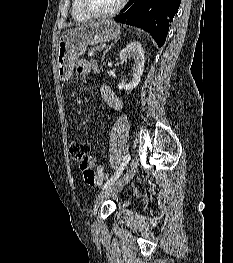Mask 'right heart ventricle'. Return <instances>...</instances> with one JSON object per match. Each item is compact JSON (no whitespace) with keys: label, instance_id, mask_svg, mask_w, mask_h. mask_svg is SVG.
<instances>
[{"label":"right heart ventricle","instance_id":"obj_1","mask_svg":"<svg viewBox=\"0 0 233 263\" xmlns=\"http://www.w3.org/2000/svg\"><path fill=\"white\" fill-rule=\"evenodd\" d=\"M72 17L76 21H87L90 18L81 9L79 0H72Z\"/></svg>","mask_w":233,"mask_h":263}]
</instances>
